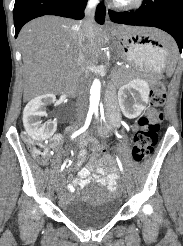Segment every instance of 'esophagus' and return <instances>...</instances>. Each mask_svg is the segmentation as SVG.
I'll list each match as a JSON object with an SVG mask.
<instances>
[{"label":"esophagus","mask_w":183,"mask_h":246,"mask_svg":"<svg viewBox=\"0 0 183 246\" xmlns=\"http://www.w3.org/2000/svg\"><path fill=\"white\" fill-rule=\"evenodd\" d=\"M105 24H106V26H112V22H111L110 17H109V10H108V8H107V11H106Z\"/></svg>","instance_id":"obj_1"}]
</instances>
